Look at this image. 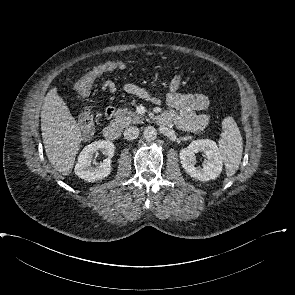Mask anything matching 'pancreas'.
Instances as JSON below:
<instances>
[{
  "mask_svg": "<svg viewBox=\"0 0 295 295\" xmlns=\"http://www.w3.org/2000/svg\"><path fill=\"white\" fill-rule=\"evenodd\" d=\"M144 118L135 112L128 111V109H118L115 112V117L113 119V124L125 128L131 124L141 123Z\"/></svg>",
  "mask_w": 295,
  "mask_h": 295,
  "instance_id": "1",
  "label": "pancreas"
}]
</instances>
